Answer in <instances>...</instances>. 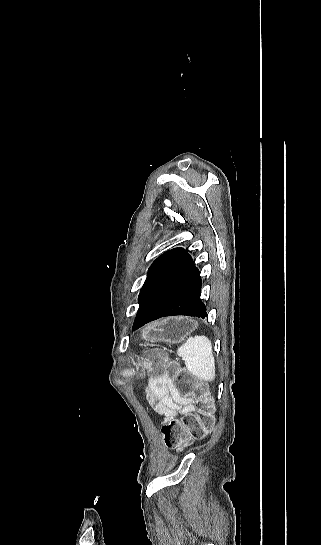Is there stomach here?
<instances>
[{"label":"stomach","mask_w":321,"mask_h":545,"mask_svg":"<svg viewBox=\"0 0 321 545\" xmlns=\"http://www.w3.org/2000/svg\"><path fill=\"white\" fill-rule=\"evenodd\" d=\"M198 327L197 321L184 319V317H168L162 321L151 323L145 329H141L140 337L147 343H181L194 329Z\"/></svg>","instance_id":"obj_1"}]
</instances>
